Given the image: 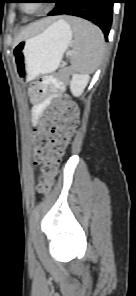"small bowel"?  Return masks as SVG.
I'll return each instance as SVG.
<instances>
[{
  "instance_id": "obj_1",
  "label": "small bowel",
  "mask_w": 136,
  "mask_h": 296,
  "mask_svg": "<svg viewBox=\"0 0 136 296\" xmlns=\"http://www.w3.org/2000/svg\"><path fill=\"white\" fill-rule=\"evenodd\" d=\"M64 85L55 79L43 78L32 86V124L38 126L45 108L61 96Z\"/></svg>"
}]
</instances>
